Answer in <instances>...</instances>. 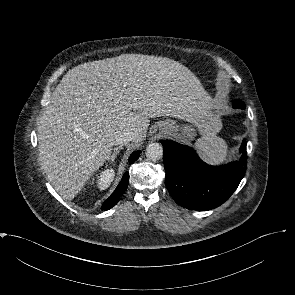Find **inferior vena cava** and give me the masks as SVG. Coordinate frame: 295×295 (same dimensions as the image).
<instances>
[{
	"mask_svg": "<svg viewBox=\"0 0 295 295\" xmlns=\"http://www.w3.org/2000/svg\"><path fill=\"white\" fill-rule=\"evenodd\" d=\"M136 138V134L133 131H126L118 136H116L114 140V145L123 146L128 142L134 140Z\"/></svg>",
	"mask_w": 295,
	"mask_h": 295,
	"instance_id": "1",
	"label": "inferior vena cava"
}]
</instances>
